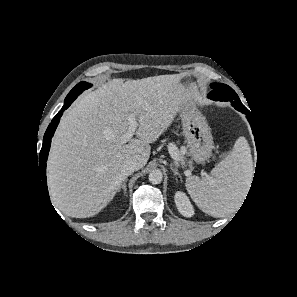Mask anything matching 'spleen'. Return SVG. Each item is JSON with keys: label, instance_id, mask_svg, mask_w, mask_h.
I'll use <instances>...</instances> for the list:
<instances>
[{"label": "spleen", "instance_id": "3e777b00", "mask_svg": "<svg viewBox=\"0 0 297 297\" xmlns=\"http://www.w3.org/2000/svg\"><path fill=\"white\" fill-rule=\"evenodd\" d=\"M252 163L247 140L240 137L231 153L212 169L211 177L187 178V191L195 204L211 216L223 217L233 213L248 192L253 175Z\"/></svg>", "mask_w": 297, "mask_h": 297}]
</instances>
